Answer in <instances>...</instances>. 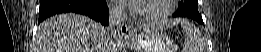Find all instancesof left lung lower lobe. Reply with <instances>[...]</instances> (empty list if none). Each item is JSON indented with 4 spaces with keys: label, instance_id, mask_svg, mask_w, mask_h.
<instances>
[{
    "label": "left lung lower lobe",
    "instance_id": "0a47b994",
    "mask_svg": "<svg viewBox=\"0 0 261 52\" xmlns=\"http://www.w3.org/2000/svg\"><path fill=\"white\" fill-rule=\"evenodd\" d=\"M173 17H180V16H177L175 13L173 14ZM199 23H203V22H199Z\"/></svg>",
    "mask_w": 261,
    "mask_h": 52
}]
</instances>
